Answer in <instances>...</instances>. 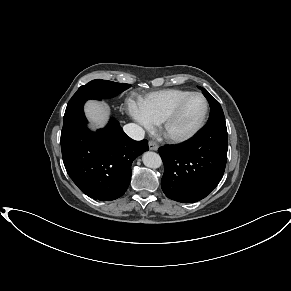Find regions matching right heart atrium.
<instances>
[{
  "label": "right heart atrium",
  "instance_id": "d8ad5b80",
  "mask_svg": "<svg viewBox=\"0 0 291 291\" xmlns=\"http://www.w3.org/2000/svg\"><path fill=\"white\" fill-rule=\"evenodd\" d=\"M128 111L132 118L146 128H151L152 123L146 118L140 106L134 102L128 103Z\"/></svg>",
  "mask_w": 291,
  "mask_h": 291
}]
</instances>
